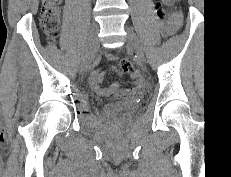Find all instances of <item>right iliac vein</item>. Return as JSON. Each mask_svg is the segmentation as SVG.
I'll use <instances>...</instances> for the list:
<instances>
[{
	"instance_id": "1",
	"label": "right iliac vein",
	"mask_w": 231,
	"mask_h": 177,
	"mask_svg": "<svg viewBox=\"0 0 231 177\" xmlns=\"http://www.w3.org/2000/svg\"><path fill=\"white\" fill-rule=\"evenodd\" d=\"M97 33H98V25L96 23H92L83 53L82 66L85 69L88 67L92 53L96 47Z\"/></svg>"
}]
</instances>
